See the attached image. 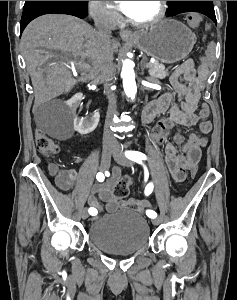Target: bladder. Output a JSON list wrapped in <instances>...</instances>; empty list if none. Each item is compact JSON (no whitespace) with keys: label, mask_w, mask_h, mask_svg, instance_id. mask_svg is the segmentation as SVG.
Here are the masks:
<instances>
[{"label":"bladder","mask_w":237,"mask_h":300,"mask_svg":"<svg viewBox=\"0 0 237 300\" xmlns=\"http://www.w3.org/2000/svg\"><path fill=\"white\" fill-rule=\"evenodd\" d=\"M88 240L103 252L130 255L144 249L150 239V226L140 213L124 209L93 221Z\"/></svg>","instance_id":"31cf9c89"}]
</instances>
